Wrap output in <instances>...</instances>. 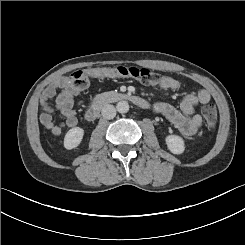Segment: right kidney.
<instances>
[{
    "instance_id": "ca27d5eb",
    "label": "right kidney",
    "mask_w": 245,
    "mask_h": 245,
    "mask_svg": "<svg viewBox=\"0 0 245 245\" xmlns=\"http://www.w3.org/2000/svg\"><path fill=\"white\" fill-rule=\"evenodd\" d=\"M69 134V149L77 147L84 135V130L80 127H74L68 131Z\"/></svg>"
}]
</instances>
